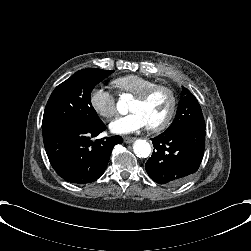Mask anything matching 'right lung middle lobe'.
<instances>
[{
    "label": "right lung middle lobe",
    "mask_w": 251,
    "mask_h": 251,
    "mask_svg": "<svg viewBox=\"0 0 251 251\" xmlns=\"http://www.w3.org/2000/svg\"><path fill=\"white\" fill-rule=\"evenodd\" d=\"M114 70L86 68L77 71L58 85L45 107L42 134L71 124L95 127L102 123L91 104V92L96 84Z\"/></svg>",
    "instance_id": "obj_1"
}]
</instances>
